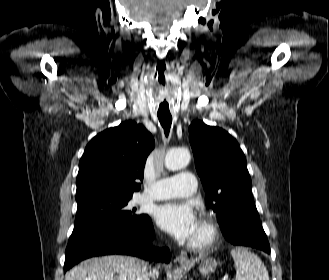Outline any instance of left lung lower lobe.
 Listing matches in <instances>:
<instances>
[{
    "mask_svg": "<svg viewBox=\"0 0 329 280\" xmlns=\"http://www.w3.org/2000/svg\"><path fill=\"white\" fill-rule=\"evenodd\" d=\"M222 231L225 238L234 245L250 246L270 253V246L253 202L234 221L223 226Z\"/></svg>",
    "mask_w": 329,
    "mask_h": 280,
    "instance_id": "obj_1",
    "label": "left lung lower lobe"
}]
</instances>
